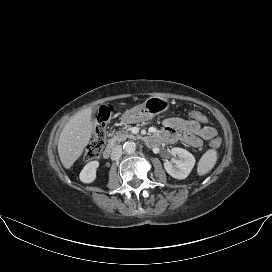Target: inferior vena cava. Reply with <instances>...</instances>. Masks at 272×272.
<instances>
[{
  "mask_svg": "<svg viewBox=\"0 0 272 272\" xmlns=\"http://www.w3.org/2000/svg\"><path fill=\"white\" fill-rule=\"evenodd\" d=\"M122 155V146H115L111 152V159L118 160Z\"/></svg>",
  "mask_w": 272,
  "mask_h": 272,
  "instance_id": "inferior-vena-cava-1",
  "label": "inferior vena cava"
}]
</instances>
